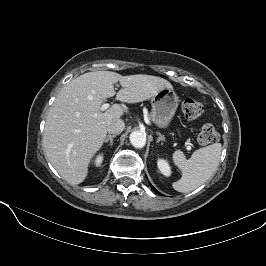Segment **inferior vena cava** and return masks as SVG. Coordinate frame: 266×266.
I'll return each mask as SVG.
<instances>
[{
  "label": "inferior vena cava",
  "instance_id": "inferior-vena-cava-1",
  "mask_svg": "<svg viewBox=\"0 0 266 266\" xmlns=\"http://www.w3.org/2000/svg\"><path fill=\"white\" fill-rule=\"evenodd\" d=\"M125 128L123 120L117 118L110 121L107 125V132L110 134H120Z\"/></svg>",
  "mask_w": 266,
  "mask_h": 266
}]
</instances>
